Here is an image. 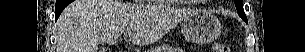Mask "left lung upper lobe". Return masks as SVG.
<instances>
[{
    "label": "left lung upper lobe",
    "instance_id": "obj_1",
    "mask_svg": "<svg viewBox=\"0 0 305 52\" xmlns=\"http://www.w3.org/2000/svg\"><path fill=\"white\" fill-rule=\"evenodd\" d=\"M235 5H236L238 14L240 15V17L244 20H247L243 7H242V0H235Z\"/></svg>",
    "mask_w": 305,
    "mask_h": 52
}]
</instances>
